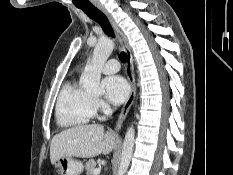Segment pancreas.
Here are the masks:
<instances>
[{
  "label": "pancreas",
  "mask_w": 233,
  "mask_h": 175,
  "mask_svg": "<svg viewBox=\"0 0 233 175\" xmlns=\"http://www.w3.org/2000/svg\"><path fill=\"white\" fill-rule=\"evenodd\" d=\"M87 175H93L94 169H96V162L94 159H90L85 164Z\"/></svg>",
  "instance_id": "pancreas-1"
}]
</instances>
